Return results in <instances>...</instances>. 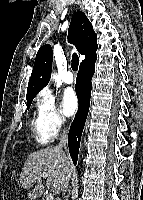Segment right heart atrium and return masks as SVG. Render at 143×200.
<instances>
[{
  "label": "right heart atrium",
  "mask_w": 143,
  "mask_h": 200,
  "mask_svg": "<svg viewBox=\"0 0 143 200\" xmlns=\"http://www.w3.org/2000/svg\"><path fill=\"white\" fill-rule=\"evenodd\" d=\"M37 107L45 134L49 138L57 137L64 129L65 120L54 95L47 89L43 90L38 96Z\"/></svg>",
  "instance_id": "1"
}]
</instances>
